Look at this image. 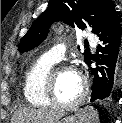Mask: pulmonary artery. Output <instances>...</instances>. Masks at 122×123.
I'll return each instance as SVG.
<instances>
[{
	"label": "pulmonary artery",
	"instance_id": "e3ab8cb5",
	"mask_svg": "<svg viewBox=\"0 0 122 123\" xmlns=\"http://www.w3.org/2000/svg\"><path fill=\"white\" fill-rule=\"evenodd\" d=\"M87 39L90 41L92 45H96L97 39L95 35L88 34ZM65 50L66 46L64 44H58L52 47L50 50H48L45 53V56H47L49 59L55 62H58L64 57Z\"/></svg>",
	"mask_w": 122,
	"mask_h": 123
}]
</instances>
